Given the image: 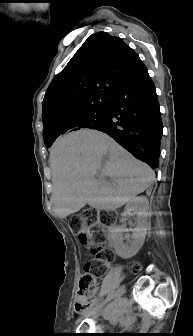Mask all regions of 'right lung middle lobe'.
<instances>
[{"label": "right lung middle lobe", "mask_w": 193, "mask_h": 336, "mask_svg": "<svg viewBox=\"0 0 193 336\" xmlns=\"http://www.w3.org/2000/svg\"><path fill=\"white\" fill-rule=\"evenodd\" d=\"M108 111L107 108L98 109L92 112H89L85 115L80 116L77 120H75L73 125V131L80 130L82 128L89 129H101L107 122ZM55 139L48 138L45 139V145L47 147H51Z\"/></svg>", "instance_id": "right-lung-middle-lobe-1"}]
</instances>
